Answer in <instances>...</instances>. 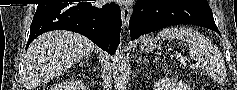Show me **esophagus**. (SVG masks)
Here are the masks:
<instances>
[{"mask_svg":"<svg viewBox=\"0 0 237 90\" xmlns=\"http://www.w3.org/2000/svg\"><path fill=\"white\" fill-rule=\"evenodd\" d=\"M131 5L129 4H124L123 6H121V12H122V27H127L129 24V19H130V15H131Z\"/></svg>","mask_w":237,"mask_h":90,"instance_id":"esophagus-1","label":"esophagus"}]
</instances>
